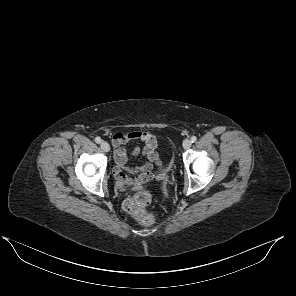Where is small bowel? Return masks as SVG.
I'll return each instance as SVG.
<instances>
[{
    "label": "small bowel",
    "instance_id": "1",
    "mask_svg": "<svg viewBox=\"0 0 296 296\" xmlns=\"http://www.w3.org/2000/svg\"><path fill=\"white\" fill-rule=\"evenodd\" d=\"M131 141H140L144 145L142 149L135 147L132 151V155H142L146 159L145 163L139 167H133L129 164L127 150L123 147L124 144ZM112 144L115 148L114 158L116 162L114 175L119 188L124 189L131 186L138 189L145 181L152 178L153 166L160 164V157L156 151L157 139L154 135L145 131L115 133L112 136ZM124 171L133 174V176H127Z\"/></svg>",
    "mask_w": 296,
    "mask_h": 296
}]
</instances>
